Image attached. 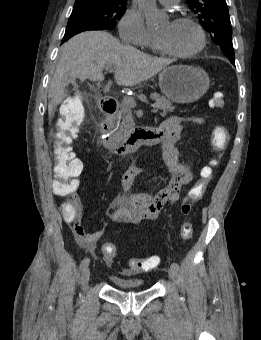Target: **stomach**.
I'll list each match as a JSON object with an SVG mask.
<instances>
[{
    "instance_id": "stomach-1",
    "label": "stomach",
    "mask_w": 261,
    "mask_h": 340,
    "mask_svg": "<svg viewBox=\"0 0 261 340\" xmlns=\"http://www.w3.org/2000/svg\"><path fill=\"white\" fill-rule=\"evenodd\" d=\"M159 87L169 100L189 104L203 97L210 87V79L199 67L174 65L159 74Z\"/></svg>"
}]
</instances>
